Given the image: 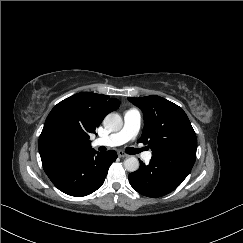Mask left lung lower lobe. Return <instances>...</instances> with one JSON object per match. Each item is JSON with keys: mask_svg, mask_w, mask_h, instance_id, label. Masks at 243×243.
Wrapping results in <instances>:
<instances>
[{"mask_svg": "<svg viewBox=\"0 0 243 243\" xmlns=\"http://www.w3.org/2000/svg\"><path fill=\"white\" fill-rule=\"evenodd\" d=\"M196 149H179L153 155L149 165L140 161L136 172L130 173V185L148 197L164 196L176 189L191 171Z\"/></svg>", "mask_w": 243, "mask_h": 243, "instance_id": "obj_1", "label": "left lung lower lobe"}]
</instances>
